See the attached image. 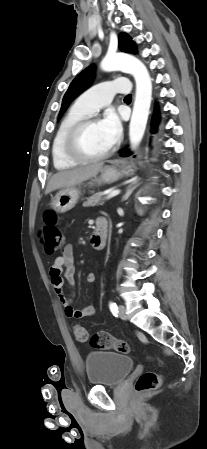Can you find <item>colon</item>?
I'll return each instance as SVG.
<instances>
[{
	"label": "colon",
	"mask_w": 207,
	"mask_h": 449,
	"mask_svg": "<svg viewBox=\"0 0 207 449\" xmlns=\"http://www.w3.org/2000/svg\"><path fill=\"white\" fill-rule=\"evenodd\" d=\"M56 214L53 211L44 213V224L40 229L41 243L46 255L55 254L63 243V234L57 226ZM75 338L81 342L88 341L90 345L97 349H114L126 354L130 351L127 342L113 337L111 334L100 331L89 336L87 330L80 324L73 326ZM160 374L153 371L142 373L137 379L135 389L139 393H146L157 389L160 385Z\"/></svg>",
	"instance_id": "5ec220e1"
}]
</instances>
